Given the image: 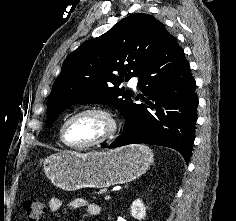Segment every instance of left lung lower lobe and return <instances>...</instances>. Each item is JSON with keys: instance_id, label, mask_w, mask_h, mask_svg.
Segmentation results:
<instances>
[{"instance_id": "1", "label": "left lung lower lobe", "mask_w": 236, "mask_h": 221, "mask_svg": "<svg viewBox=\"0 0 236 221\" xmlns=\"http://www.w3.org/2000/svg\"><path fill=\"white\" fill-rule=\"evenodd\" d=\"M139 76L146 104L130 103L123 114V133L109 148L133 143L166 146L188 163L197 120L196 84L183 49L168 31Z\"/></svg>"}]
</instances>
